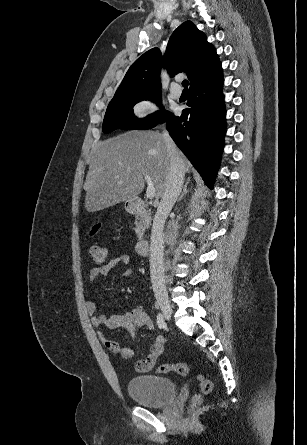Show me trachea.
<instances>
[{"instance_id":"1","label":"trachea","mask_w":307,"mask_h":445,"mask_svg":"<svg viewBox=\"0 0 307 445\" xmlns=\"http://www.w3.org/2000/svg\"><path fill=\"white\" fill-rule=\"evenodd\" d=\"M188 84H189L188 80H183V82H182V86H183L185 89L188 87Z\"/></svg>"}]
</instances>
